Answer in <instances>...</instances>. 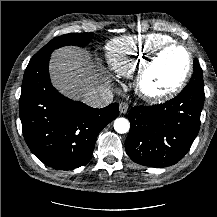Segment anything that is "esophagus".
I'll list each match as a JSON object with an SVG mask.
<instances>
[{
	"instance_id": "obj_1",
	"label": "esophagus",
	"mask_w": 217,
	"mask_h": 217,
	"mask_svg": "<svg viewBox=\"0 0 217 217\" xmlns=\"http://www.w3.org/2000/svg\"><path fill=\"white\" fill-rule=\"evenodd\" d=\"M129 109V104L126 102H121L120 106H119V111L122 114H126L128 112Z\"/></svg>"
}]
</instances>
